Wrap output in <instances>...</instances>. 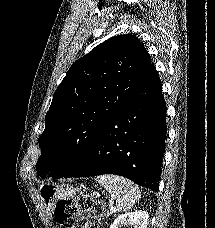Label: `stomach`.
I'll use <instances>...</instances> for the list:
<instances>
[{
    "label": "stomach",
    "instance_id": "1",
    "mask_svg": "<svg viewBox=\"0 0 215 228\" xmlns=\"http://www.w3.org/2000/svg\"><path fill=\"white\" fill-rule=\"evenodd\" d=\"M38 192L47 212L54 216L58 200H70V198L76 196L77 190L69 184L57 186V184L46 182V184L39 186Z\"/></svg>",
    "mask_w": 215,
    "mask_h": 228
}]
</instances>
